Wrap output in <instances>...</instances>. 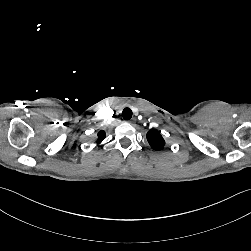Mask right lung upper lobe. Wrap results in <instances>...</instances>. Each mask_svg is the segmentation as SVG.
I'll list each match as a JSON object with an SVG mask.
<instances>
[{"instance_id":"obj_1","label":"right lung upper lobe","mask_w":251,"mask_h":251,"mask_svg":"<svg viewBox=\"0 0 251 251\" xmlns=\"http://www.w3.org/2000/svg\"><path fill=\"white\" fill-rule=\"evenodd\" d=\"M105 131H99L98 132V139H97V143H101L104 139H105Z\"/></svg>"}]
</instances>
